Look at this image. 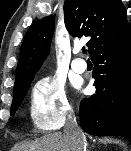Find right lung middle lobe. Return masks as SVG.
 I'll list each match as a JSON object with an SVG mask.
<instances>
[{"label":"right lung middle lobe","instance_id":"right-lung-middle-lobe-1","mask_svg":"<svg viewBox=\"0 0 131 151\" xmlns=\"http://www.w3.org/2000/svg\"><path fill=\"white\" fill-rule=\"evenodd\" d=\"M31 81L28 84H26L18 89L13 90V102H12V106H11V115L15 114L18 106L23 101V99L30 87Z\"/></svg>","mask_w":131,"mask_h":151}]
</instances>
